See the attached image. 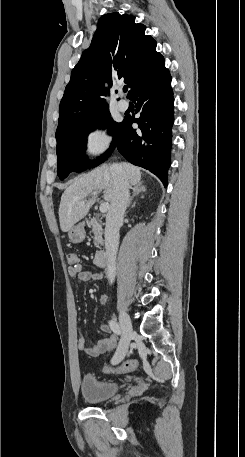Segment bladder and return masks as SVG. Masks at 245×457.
Segmentation results:
<instances>
[{
    "mask_svg": "<svg viewBox=\"0 0 245 457\" xmlns=\"http://www.w3.org/2000/svg\"><path fill=\"white\" fill-rule=\"evenodd\" d=\"M83 397L89 403L97 404L109 396H113L119 389L118 383H109L99 380L93 375L86 374L80 382Z\"/></svg>",
    "mask_w": 245,
    "mask_h": 457,
    "instance_id": "31cf9c89",
    "label": "bladder"
}]
</instances>
